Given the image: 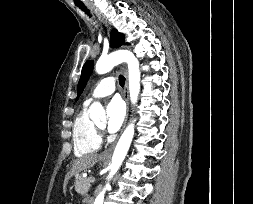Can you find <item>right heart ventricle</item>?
<instances>
[{
	"label": "right heart ventricle",
	"instance_id": "obj_1",
	"mask_svg": "<svg viewBox=\"0 0 253 204\" xmlns=\"http://www.w3.org/2000/svg\"><path fill=\"white\" fill-rule=\"evenodd\" d=\"M87 106L84 104L73 124L74 152L80 157L96 152L101 144L97 128L88 116Z\"/></svg>",
	"mask_w": 253,
	"mask_h": 204
}]
</instances>
